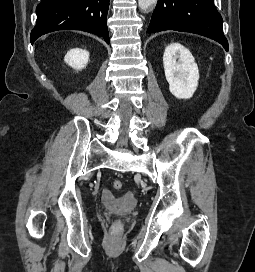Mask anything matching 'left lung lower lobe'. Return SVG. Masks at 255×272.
I'll return each instance as SVG.
<instances>
[{"mask_svg": "<svg viewBox=\"0 0 255 272\" xmlns=\"http://www.w3.org/2000/svg\"><path fill=\"white\" fill-rule=\"evenodd\" d=\"M222 23L213 0H158L147 33L163 30L196 33L219 42L228 51Z\"/></svg>", "mask_w": 255, "mask_h": 272, "instance_id": "1", "label": "left lung lower lobe"}]
</instances>
